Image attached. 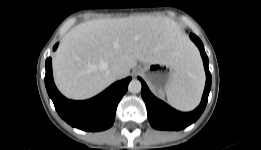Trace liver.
<instances>
[{
    "label": "liver",
    "mask_w": 261,
    "mask_h": 150,
    "mask_svg": "<svg viewBox=\"0 0 261 150\" xmlns=\"http://www.w3.org/2000/svg\"><path fill=\"white\" fill-rule=\"evenodd\" d=\"M196 51L178 24L168 17L136 16L91 20L75 26L54 54L59 90L71 99H86L117 78L111 67L130 69L137 61L163 64L180 72Z\"/></svg>",
    "instance_id": "obj_1"
}]
</instances>
